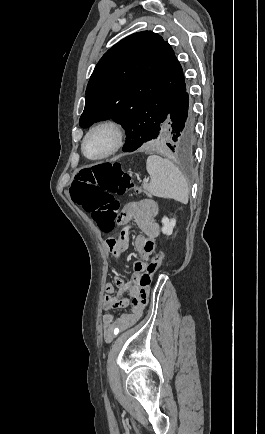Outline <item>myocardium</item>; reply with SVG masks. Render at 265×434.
<instances>
[{
    "label": "myocardium",
    "instance_id": "obj_1",
    "mask_svg": "<svg viewBox=\"0 0 265 434\" xmlns=\"http://www.w3.org/2000/svg\"><path fill=\"white\" fill-rule=\"evenodd\" d=\"M102 131L109 132L112 137V142L109 149L105 153L99 156H95V157L88 156L84 150L87 140L95 133L102 132ZM124 140H125V129L123 125L120 122L113 119H104L92 125L85 133L84 137L80 142V153L88 161L102 162L110 158L116 152H118L119 149L123 146Z\"/></svg>",
    "mask_w": 265,
    "mask_h": 434
}]
</instances>
